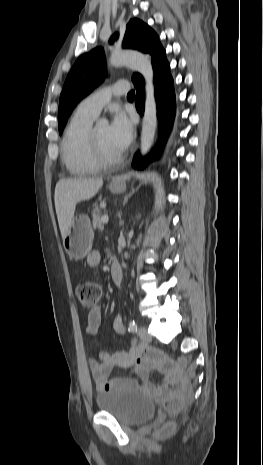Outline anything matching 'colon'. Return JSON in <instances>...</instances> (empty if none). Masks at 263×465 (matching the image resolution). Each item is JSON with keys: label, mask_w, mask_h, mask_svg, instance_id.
I'll return each instance as SVG.
<instances>
[{"label": "colon", "mask_w": 263, "mask_h": 465, "mask_svg": "<svg viewBox=\"0 0 263 465\" xmlns=\"http://www.w3.org/2000/svg\"><path fill=\"white\" fill-rule=\"evenodd\" d=\"M76 292L81 305L90 310L96 306L101 296L100 287L93 282L80 283L77 286ZM159 396L163 398V405L169 413H177L185 401L182 382L175 379L164 387ZM171 428L172 424L164 426L165 431H169Z\"/></svg>", "instance_id": "5ec220e1"}]
</instances>
